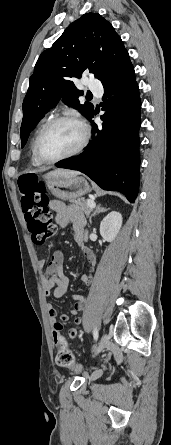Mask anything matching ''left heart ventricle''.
Returning <instances> with one entry per match:
<instances>
[{
    "mask_svg": "<svg viewBox=\"0 0 171 445\" xmlns=\"http://www.w3.org/2000/svg\"><path fill=\"white\" fill-rule=\"evenodd\" d=\"M81 140V130L73 122L50 125L40 141V152L46 159H55L74 150Z\"/></svg>",
    "mask_w": 171,
    "mask_h": 445,
    "instance_id": "1",
    "label": "left heart ventricle"
}]
</instances>
